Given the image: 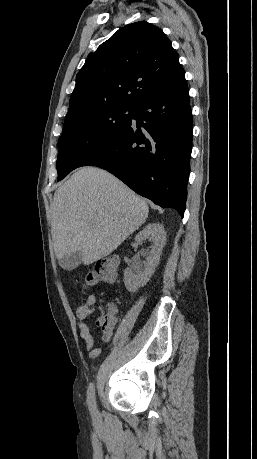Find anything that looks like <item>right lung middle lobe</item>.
Masks as SVG:
<instances>
[{"mask_svg": "<svg viewBox=\"0 0 257 459\" xmlns=\"http://www.w3.org/2000/svg\"><path fill=\"white\" fill-rule=\"evenodd\" d=\"M135 107H111L65 127L56 163L58 181L115 141L130 125Z\"/></svg>", "mask_w": 257, "mask_h": 459, "instance_id": "1", "label": "right lung middle lobe"}]
</instances>
